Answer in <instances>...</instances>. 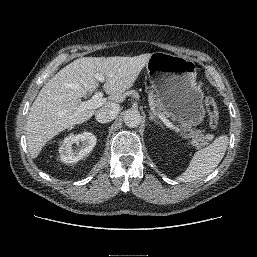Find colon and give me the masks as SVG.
Here are the masks:
<instances>
[{"instance_id":"5ec220e1","label":"colon","mask_w":257,"mask_h":257,"mask_svg":"<svg viewBox=\"0 0 257 257\" xmlns=\"http://www.w3.org/2000/svg\"><path fill=\"white\" fill-rule=\"evenodd\" d=\"M204 106L208 113L209 124L211 127H216L219 123V112L216 102L211 97H206L204 99Z\"/></svg>"}]
</instances>
